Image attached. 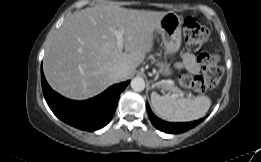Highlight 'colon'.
I'll return each instance as SVG.
<instances>
[{"instance_id":"5ec220e1","label":"colon","mask_w":261,"mask_h":162,"mask_svg":"<svg viewBox=\"0 0 261 162\" xmlns=\"http://www.w3.org/2000/svg\"><path fill=\"white\" fill-rule=\"evenodd\" d=\"M183 34L187 48L196 53L197 59L202 65V74L182 75L179 84L184 89L205 93L216 87L223 76L219 56L202 49L203 44L210 38V31L193 17H186L183 20Z\"/></svg>"}]
</instances>
